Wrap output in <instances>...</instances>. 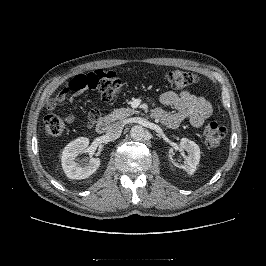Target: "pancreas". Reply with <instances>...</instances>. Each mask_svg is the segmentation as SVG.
<instances>
[{"label":"pancreas","instance_id":"1","mask_svg":"<svg viewBox=\"0 0 266 266\" xmlns=\"http://www.w3.org/2000/svg\"><path fill=\"white\" fill-rule=\"evenodd\" d=\"M138 111L131 108H118L115 109L110 115L106 117V120L109 122L115 120H125L127 117L137 114Z\"/></svg>","mask_w":266,"mask_h":266}]
</instances>
